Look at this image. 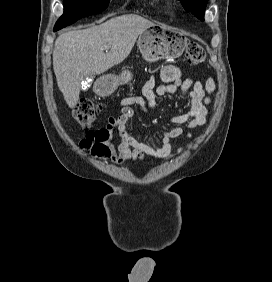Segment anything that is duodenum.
I'll return each mask as SVG.
<instances>
[{
	"instance_id": "1",
	"label": "duodenum",
	"mask_w": 272,
	"mask_h": 282,
	"mask_svg": "<svg viewBox=\"0 0 272 282\" xmlns=\"http://www.w3.org/2000/svg\"><path fill=\"white\" fill-rule=\"evenodd\" d=\"M99 90L106 91L107 90V84H103V85L99 86Z\"/></svg>"
}]
</instances>
